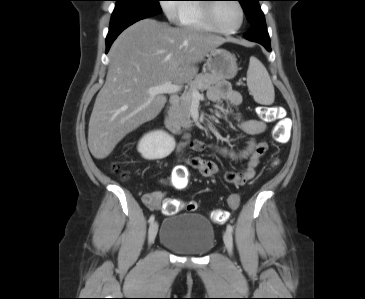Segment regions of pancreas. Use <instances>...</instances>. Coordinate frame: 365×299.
I'll return each mask as SVG.
<instances>
[{
	"label": "pancreas",
	"mask_w": 365,
	"mask_h": 299,
	"mask_svg": "<svg viewBox=\"0 0 365 299\" xmlns=\"http://www.w3.org/2000/svg\"><path fill=\"white\" fill-rule=\"evenodd\" d=\"M221 78L210 73H200L190 83L188 91L184 92L179 104L175 105L171 111V118L175 124L185 128L191 127L190 109L193 100L194 90L203 92L220 82Z\"/></svg>",
	"instance_id": "pancreas-1"
}]
</instances>
